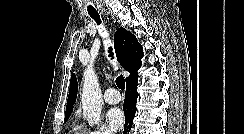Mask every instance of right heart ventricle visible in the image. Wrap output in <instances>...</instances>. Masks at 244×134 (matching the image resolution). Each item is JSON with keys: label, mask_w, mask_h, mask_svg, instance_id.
<instances>
[{"label": "right heart ventricle", "mask_w": 244, "mask_h": 134, "mask_svg": "<svg viewBox=\"0 0 244 134\" xmlns=\"http://www.w3.org/2000/svg\"><path fill=\"white\" fill-rule=\"evenodd\" d=\"M68 134H89V131L85 130L78 124H73Z\"/></svg>", "instance_id": "1"}]
</instances>
